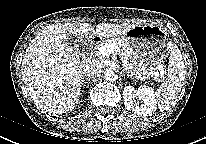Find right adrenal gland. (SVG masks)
<instances>
[{
    "label": "right adrenal gland",
    "instance_id": "right-adrenal-gland-1",
    "mask_svg": "<svg viewBox=\"0 0 206 144\" xmlns=\"http://www.w3.org/2000/svg\"><path fill=\"white\" fill-rule=\"evenodd\" d=\"M86 79H88L89 81H90V78H86ZM82 82H85V79H83V81ZM83 86L82 87H85V85L84 84H82Z\"/></svg>",
    "mask_w": 206,
    "mask_h": 144
}]
</instances>
